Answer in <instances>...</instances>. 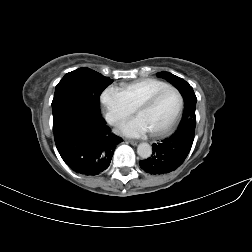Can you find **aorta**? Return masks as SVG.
Wrapping results in <instances>:
<instances>
[{
    "label": "aorta",
    "mask_w": 252,
    "mask_h": 252,
    "mask_svg": "<svg viewBox=\"0 0 252 252\" xmlns=\"http://www.w3.org/2000/svg\"><path fill=\"white\" fill-rule=\"evenodd\" d=\"M137 153L141 158L147 159L152 154V147L148 143H140L137 147Z\"/></svg>",
    "instance_id": "aorta-1"
}]
</instances>
